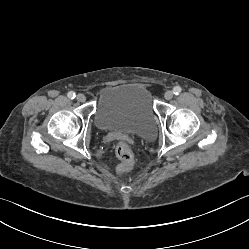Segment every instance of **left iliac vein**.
<instances>
[{"mask_svg":"<svg viewBox=\"0 0 249 249\" xmlns=\"http://www.w3.org/2000/svg\"><path fill=\"white\" fill-rule=\"evenodd\" d=\"M164 97L166 100H170L173 98V92L172 91H166L164 94Z\"/></svg>","mask_w":249,"mask_h":249,"instance_id":"obj_1","label":"left iliac vein"}]
</instances>
